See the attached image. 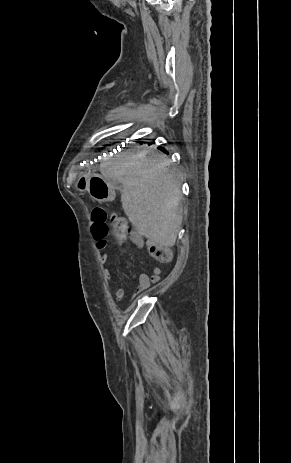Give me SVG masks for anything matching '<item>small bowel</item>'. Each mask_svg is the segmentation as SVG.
<instances>
[{
	"mask_svg": "<svg viewBox=\"0 0 291 463\" xmlns=\"http://www.w3.org/2000/svg\"><path fill=\"white\" fill-rule=\"evenodd\" d=\"M129 240L135 245H137L139 248L144 247V241L142 237L137 233H133L131 237L129 238ZM106 247H107V244H106ZM109 260L110 259L107 254H102L101 261L103 263L106 264L109 262ZM112 274H113V271L110 268H106L103 272L104 277L108 280L112 278ZM160 274H161V268L159 266L155 267L153 272L150 275L145 272L141 273L138 278V287L136 290V295L144 292L147 288L151 286V284L157 283L160 280ZM111 291L113 292L117 301H122L126 296V291L122 287L120 288L111 287Z\"/></svg>",
	"mask_w": 291,
	"mask_h": 463,
	"instance_id": "c3829d8e",
	"label": "small bowel"
}]
</instances>
